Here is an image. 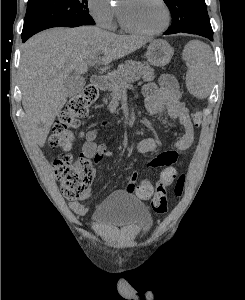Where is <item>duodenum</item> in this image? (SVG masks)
I'll list each match as a JSON object with an SVG mask.
<instances>
[{
    "instance_id": "1",
    "label": "duodenum",
    "mask_w": 245,
    "mask_h": 300,
    "mask_svg": "<svg viewBox=\"0 0 245 300\" xmlns=\"http://www.w3.org/2000/svg\"><path fill=\"white\" fill-rule=\"evenodd\" d=\"M91 83L98 90H103L106 86V80L102 75H93L91 77Z\"/></svg>"
}]
</instances>
